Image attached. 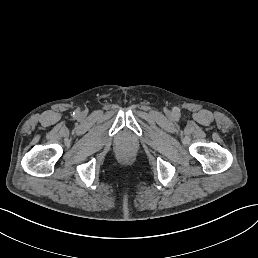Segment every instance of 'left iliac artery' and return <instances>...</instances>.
I'll use <instances>...</instances> for the list:
<instances>
[{
  "label": "left iliac artery",
  "mask_w": 258,
  "mask_h": 258,
  "mask_svg": "<svg viewBox=\"0 0 258 258\" xmlns=\"http://www.w3.org/2000/svg\"><path fill=\"white\" fill-rule=\"evenodd\" d=\"M172 116L174 117V119H175L176 121H178V120L180 119V117H181L180 109L177 108V107H175V108L173 109V115H172Z\"/></svg>",
  "instance_id": "44dca946"
}]
</instances>
